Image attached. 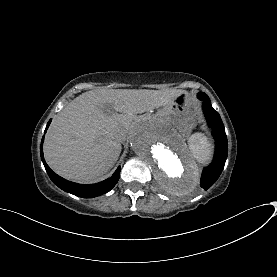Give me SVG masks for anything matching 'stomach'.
<instances>
[{
	"instance_id": "0dacf381",
	"label": "stomach",
	"mask_w": 277,
	"mask_h": 277,
	"mask_svg": "<svg viewBox=\"0 0 277 277\" xmlns=\"http://www.w3.org/2000/svg\"><path fill=\"white\" fill-rule=\"evenodd\" d=\"M197 108L188 93L178 95L172 104L163 107L158 117L177 127L182 133H188L197 123Z\"/></svg>"
}]
</instances>
